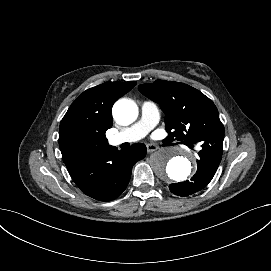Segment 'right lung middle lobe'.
<instances>
[{"label":"right lung middle lobe","instance_id":"right-lung-middle-lobe-1","mask_svg":"<svg viewBox=\"0 0 271 271\" xmlns=\"http://www.w3.org/2000/svg\"><path fill=\"white\" fill-rule=\"evenodd\" d=\"M83 147L90 153H97L101 149L108 146L106 138H98L92 135H85L82 137Z\"/></svg>","mask_w":271,"mask_h":271}]
</instances>
